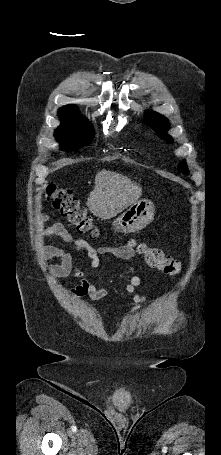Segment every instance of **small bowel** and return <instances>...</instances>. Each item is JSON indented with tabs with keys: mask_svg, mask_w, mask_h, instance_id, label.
<instances>
[{
	"mask_svg": "<svg viewBox=\"0 0 221 455\" xmlns=\"http://www.w3.org/2000/svg\"><path fill=\"white\" fill-rule=\"evenodd\" d=\"M45 221V217L40 218L41 223ZM49 236H55L64 240L72 248V250H69L56 245H46L42 248L41 254L45 259L59 260V264L55 265L52 269L56 276L68 277L72 275L81 280L78 285L71 289L72 295L77 298L88 296L92 300H101L106 297L108 290L106 287L96 286L86 277L83 271L75 266L73 252L80 253L88 258L90 266L93 269L99 266V257L103 254H110L124 261H129L136 255L135 250L130 246L94 248L84 239L72 236L62 224H53L45 227L41 232V237ZM141 269L142 266H139V271H136L132 266L129 267L131 277L125 289L133 295L134 303L128 312V317L133 316L148 299L147 294L138 291L139 287L143 285V277L139 273Z\"/></svg>",
	"mask_w": 221,
	"mask_h": 455,
	"instance_id": "obj_1",
	"label": "small bowel"
}]
</instances>
